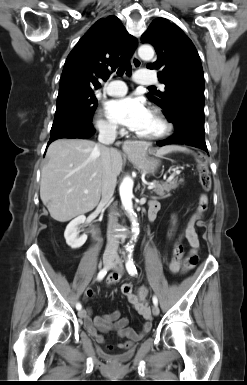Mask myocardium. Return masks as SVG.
Wrapping results in <instances>:
<instances>
[{
	"label": "myocardium",
	"mask_w": 247,
	"mask_h": 385,
	"mask_svg": "<svg viewBox=\"0 0 247 385\" xmlns=\"http://www.w3.org/2000/svg\"><path fill=\"white\" fill-rule=\"evenodd\" d=\"M151 114H153L160 122L161 130L151 135H140L137 133L136 136L140 139H144L147 141H155L169 136L172 132L173 126L167 119V117L164 115V113L159 108H152Z\"/></svg>",
	"instance_id": "myocardium-1"
}]
</instances>
